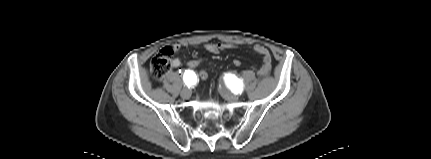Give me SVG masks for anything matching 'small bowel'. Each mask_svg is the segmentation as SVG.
I'll list each match as a JSON object with an SVG mask.
<instances>
[{
    "label": "small bowel",
    "mask_w": 431,
    "mask_h": 159,
    "mask_svg": "<svg viewBox=\"0 0 431 159\" xmlns=\"http://www.w3.org/2000/svg\"><path fill=\"white\" fill-rule=\"evenodd\" d=\"M238 47L237 43H209L206 45V50L209 53L212 54H217L223 50H227V49H232ZM178 48L177 45L172 46L173 50H176ZM253 50L261 55L262 57V64L257 68V72L259 75H266L269 73L270 69H271V56L269 51L261 45H255L253 47ZM188 65V63H187ZM171 66L173 68H178L181 66V60L179 58H174L171 61Z\"/></svg>",
    "instance_id": "obj_1"
}]
</instances>
